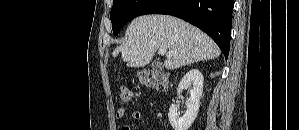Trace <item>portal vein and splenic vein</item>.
<instances>
[{"mask_svg":"<svg viewBox=\"0 0 299 130\" xmlns=\"http://www.w3.org/2000/svg\"><path fill=\"white\" fill-rule=\"evenodd\" d=\"M159 55H167V57H171L173 55L172 52H167L166 49L158 50Z\"/></svg>","mask_w":299,"mask_h":130,"instance_id":"1","label":"portal vein and splenic vein"}]
</instances>
